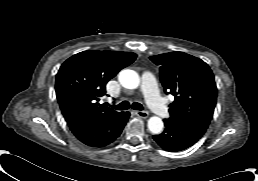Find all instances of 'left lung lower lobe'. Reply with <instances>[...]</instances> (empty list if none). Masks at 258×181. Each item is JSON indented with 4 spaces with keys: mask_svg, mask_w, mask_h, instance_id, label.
<instances>
[{
    "mask_svg": "<svg viewBox=\"0 0 258 181\" xmlns=\"http://www.w3.org/2000/svg\"><path fill=\"white\" fill-rule=\"evenodd\" d=\"M165 130L154 135L153 139L164 150L176 152L184 150L196 143L206 129L187 122L165 119Z\"/></svg>",
    "mask_w": 258,
    "mask_h": 181,
    "instance_id": "1",
    "label": "left lung lower lobe"
}]
</instances>
